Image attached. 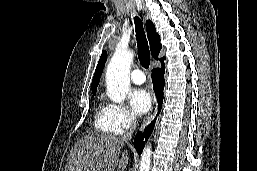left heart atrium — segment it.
<instances>
[{
	"mask_svg": "<svg viewBox=\"0 0 257 171\" xmlns=\"http://www.w3.org/2000/svg\"><path fill=\"white\" fill-rule=\"evenodd\" d=\"M151 96L145 89H136L129 95V102L132 110L138 114H145L151 106Z\"/></svg>",
	"mask_w": 257,
	"mask_h": 171,
	"instance_id": "1",
	"label": "left heart atrium"
}]
</instances>
